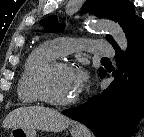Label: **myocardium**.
Listing matches in <instances>:
<instances>
[{
    "label": "myocardium",
    "instance_id": "myocardium-1",
    "mask_svg": "<svg viewBox=\"0 0 144 137\" xmlns=\"http://www.w3.org/2000/svg\"><path fill=\"white\" fill-rule=\"evenodd\" d=\"M59 68L73 70L72 66L68 62L62 60H52L46 64H43L34 73L32 80L33 89L39 99L45 103L55 106L73 105L77 102L76 96L67 100H59L54 98L48 90V78L52 72Z\"/></svg>",
    "mask_w": 144,
    "mask_h": 137
}]
</instances>
